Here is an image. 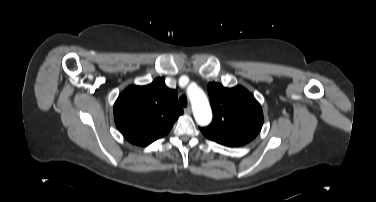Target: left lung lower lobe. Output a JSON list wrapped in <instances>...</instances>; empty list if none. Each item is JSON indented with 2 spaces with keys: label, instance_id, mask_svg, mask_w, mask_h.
I'll list each match as a JSON object with an SVG mask.
<instances>
[{
  "label": "left lung lower lobe",
  "instance_id": "0a47b994",
  "mask_svg": "<svg viewBox=\"0 0 376 202\" xmlns=\"http://www.w3.org/2000/svg\"><path fill=\"white\" fill-rule=\"evenodd\" d=\"M201 132L203 133V135L205 137H207L208 139L212 140V141H215L219 144H222V145H225V146H229V147H238V146H241L243 144H240L238 142H234V141H229V140H225V139H222L221 137L217 136V135H214L206 130H204L203 128H200Z\"/></svg>",
  "mask_w": 376,
  "mask_h": 202
}]
</instances>
